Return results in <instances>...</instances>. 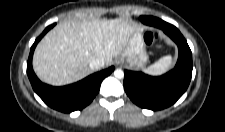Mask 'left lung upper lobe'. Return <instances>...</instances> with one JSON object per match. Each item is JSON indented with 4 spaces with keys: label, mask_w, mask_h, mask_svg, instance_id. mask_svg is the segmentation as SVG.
<instances>
[{
    "label": "left lung upper lobe",
    "mask_w": 225,
    "mask_h": 132,
    "mask_svg": "<svg viewBox=\"0 0 225 132\" xmlns=\"http://www.w3.org/2000/svg\"><path fill=\"white\" fill-rule=\"evenodd\" d=\"M141 17H146V16H141ZM141 17H140V20H141Z\"/></svg>",
    "instance_id": "left-lung-upper-lobe-1"
}]
</instances>
